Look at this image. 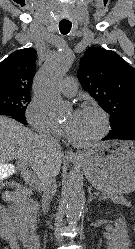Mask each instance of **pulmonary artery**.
Wrapping results in <instances>:
<instances>
[{
  "label": "pulmonary artery",
  "instance_id": "obj_1",
  "mask_svg": "<svg viewBox=\"0 0 135 249\" xmlns=\"http://www.w3.org/2000/svg\"><path fill=\"white\" fill-rule=\"evenodd\" d=\"M78 85L74 77H66L60 84V91L67 97H72L77 93Z\"/></svg>",
  "mask_w": 135,
  "mask_h": 249
}]
</instances>
